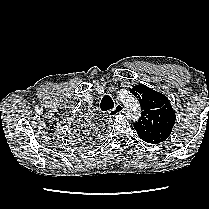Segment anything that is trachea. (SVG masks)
Here are the masks:
<instances>
[{"label":"trachea","mask_w":209,"mask_h":209,"mask_svg":"<svg viewBox=\"0 0 209 209\" xmlns=\"http://www.w3.org/2000/svg\"><path fill=\"white\" fill-rule=\"evenodd\" d=\"M100 108L102 111H108L114 108V102L109 95H105L102 98Z\"/></svg>","instance_id":"obj_1"}]
</instances>
